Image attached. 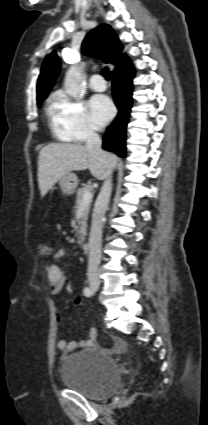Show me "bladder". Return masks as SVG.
<instances>
[{
    "label": "bladder",
    "instance_id": "bladder-1",
    "mask_svg": "<svg viewBox=\"0 0 208 425\" xmlns=\"http://www.w3.org/2000/svg\"><path fill=\"white\" fill-rule=\"evenodd\" d=\"M61 378L68 389L87 398L102 399L118 388L121 373L111 355L90 349L64 357L61 360Z\"/></svg>",
    "mask_w": 208,
    "mask_h": 425
}]
</instances>
